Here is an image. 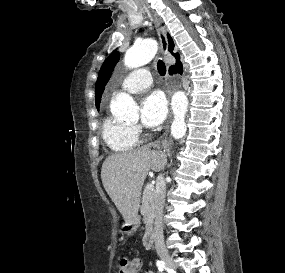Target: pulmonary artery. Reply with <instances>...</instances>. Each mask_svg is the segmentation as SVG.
I'll return each mask as SVG.
<instances>
[{"mask_svg":"<svg viewBox=\"0 0 285 273\" xmlns=\"http://www.w3.org/2000/svg\"><path fill=\"white\" fill-rule=\"evenodd\" d=\"M152 81L150 70L143 67L136 69L125 76L120 85L125 91L138 92L151 86Z\"/></svg>","mask_w":285,"mask_h":273,"instance_id":"obj_1","label":"pulmonary artery"}]
</instances>
